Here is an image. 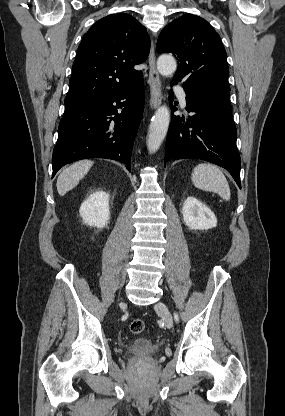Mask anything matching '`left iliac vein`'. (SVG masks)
I'll return each instance as SVG.
<instances>
[{
  "label": "left iliac vein",
  "mask_w": 285,
  "mask_h": 416,
  "mask_svg": "<svg viewBox=\"0 0 285 416\" xmlns=\"http://www.w3.org/2000/svg\"><path fill=\"white\" fill-rule=\"evenodd\" d=\"M155 309L160 314V316L163 318L165 326L168 329L172 328V326H173V316L170 313L167 305L164 302L159 301L155 305Z\"/></svg>",
  "instance_id": "4c4485c4"
}]
</instances>
